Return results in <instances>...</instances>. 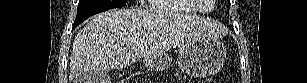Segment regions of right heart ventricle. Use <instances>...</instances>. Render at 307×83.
<instances>
[{"instance_id":"right-heart-ventricle-1","label":"right heart ventricle","mask_w":307,"mask_h":83,"mask_svg":"<svg viewBox=\"0 0 307 83\" xmlns=\"http://www.w3.org/2000/svg\"><path fill=\"white\" fill-rule=\"evenodd\" d=\"M152 9L165 15L196 12V7L187 0H152Z\"/></svg>"}]
</instances>
